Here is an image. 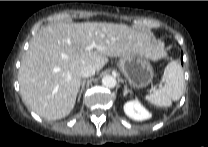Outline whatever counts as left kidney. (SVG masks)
Masks as SVG:
<instances>
[{"instance_id": "obj_1", "label": "left kidney", "mask_w": 208, "mask_h": 147, "mask_svg": "<svg viewBox=\"0 0 208 147\" xmlns=\"http://www.w3.org/2000/svg\"><path fill=\"white\" fill-rule=\"evenodd\" d=\"M124 112L129 118L136 121L147 120L151 117V113L138 100L126 102L124 104Z\"/></svg>"}]
</instances>
